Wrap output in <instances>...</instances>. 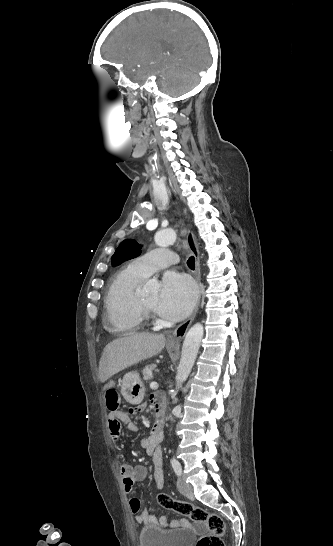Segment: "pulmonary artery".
Segmentation results:
<instances>
[{
    "label": "pulmonary artery",
    "mask_w": 333,
    "mask_h": 546,
    "mask_svg": "<svg viewBox=\"0 0 333 546\" xmlns=\"http://www.w3.org/2000/svg\"><path fill=\"white\" fill-rule=\"evenodd\" d=\"M177 262L178 256L174 252L158 248L135 258L131 262V266L142 276L148 277L155 271L176 264Z\"/></svg>",
    "instance_id": "e3ab8cb5"
}]
</instances>
